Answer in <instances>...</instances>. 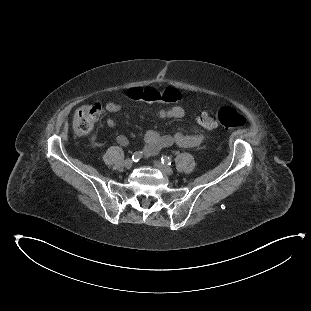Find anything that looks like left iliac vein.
Masks as SVG:
<instances>
[{
  "mask_svg": "<svg viewBox=\"0 0 311 311\" xmlns=\"http://www.w3.org/2000/svg\"><path fill=\"white\" fill-rule=\"evenodd\" d=\"M154 166L156 168H158L162 173H164L165 175H172L173 174V170L171 167L161 163L160 161H154Z\"/></svg>",
  "mask_w": 311,
  "mask_h": 311,
  "instance_id": "4c4485c4",
  "label": "left iliac vein"
}]
</instances>
